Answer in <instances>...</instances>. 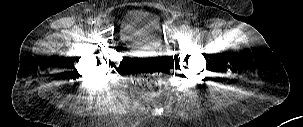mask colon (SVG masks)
Instances as JSON below:
<instances>
[{
    "label": "colon",
    "instance_id": "colon-1",
    "mask_svg": "<svg viewBox=\"0 0 303 127\" xmlns=\"http://www.w3.org/2000/svg\"><path fill=\"white\" fill-rule=\"evenodd\" d=\"M138 76V86L152 95L160 93L158 76L162 73V66L158 61L146 60L138 62L134 68Z\"/></svg>",
    "mask_w": 303,
    "mask_h": 127
}]
</instances>
